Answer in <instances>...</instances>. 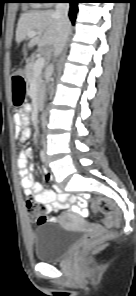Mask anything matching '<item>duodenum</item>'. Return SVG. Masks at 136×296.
<instances>
[{"instance_id":"duodenum-1","label":"duodenum","mask_w":136,"mask_h":296,"mask_svg":"<svg viewBox=\"0 0 136 296\" xmlns=\"http://www.w3.org/2000/svg\"><path fill=\"white\" fill-rule=\"evenodd\" d=\"M16 75H17V76H19V77H20V79H21L22 72H21V70H20V69L16 71ZM40 104H41V101H40V100H38V102H37V105H38V106H40Z\"/></svg>"}]
</instances>
